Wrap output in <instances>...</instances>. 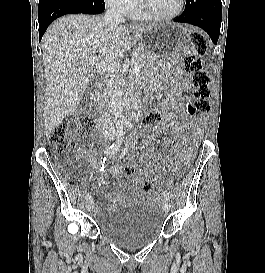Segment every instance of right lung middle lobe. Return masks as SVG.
I'll return each mask as SVG.
<instances>
[{"mask_svg": "<svg viewBox=\"0 0 265 273\" xmlns=\"http://www.w3.org/2000/svg\"><path fill=\"white\" fill-rule=\"evenodd\" d=\"M80 1H87V0H80ZM104 4V0H96Z\"/></svg>", "mask_w": 265, "mask_h": 273, "instance_id": "right-lung-middle-lobe-1", "label": "right lung middle lobe"}]
</instances>
